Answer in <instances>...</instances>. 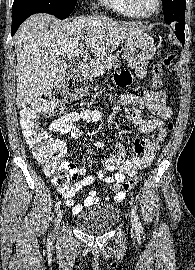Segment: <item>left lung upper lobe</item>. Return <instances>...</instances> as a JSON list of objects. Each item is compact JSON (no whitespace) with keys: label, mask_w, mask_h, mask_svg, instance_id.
I'll return each instance as SVG.
<instances>
[{"label":"left lung upper lobe","mask_w":195,"mask_h":270,"mask_svg":"<svg viewBox=\"0 0 195 270\" xmlns=\"http://www.w3.org/2000/svg\"><path fill=\"white\" fill-rule=\"evenodd\" d=\"M164 20L167 24L185 21V0H162Z\"/></svg>","instance_id":"5c2ea615"}]
</instances>
